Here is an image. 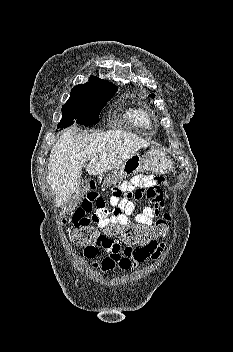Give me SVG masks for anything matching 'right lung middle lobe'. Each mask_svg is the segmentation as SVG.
Masks as SVG:
<instances>
[{"label":"right lung middle lobe","mask_w":233,"mask_h":352,"mask_svg":"<svg viewBox=\"0 0 233 352\" xmlns=\"http://www.w3.org/2000/svg\"><path fill=\"white\" fill-rule=\"evenodd\" d=\"M115 91L86 87L71 95L62 107L63 116L57 128L63 129L72 124L90 126L98 123L101 109L114 96Z\"/></svg>","instance_id":"obj_1"}]
</instances>
